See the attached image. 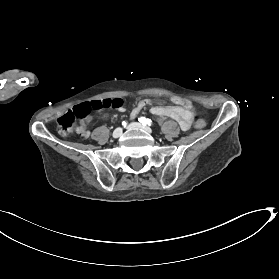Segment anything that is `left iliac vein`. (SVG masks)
Segmentation results:
<instances>
[{
    "instance_id": "1",
    "label": "left iliac vein",
    "mask_w": 279,
    "mask_h": 279,
    "mask_svg": "<svg viewBox=\"0 0 279 279\" xmlns=\"http://www.w3.org/2000/svg\"><path fill=\"white\" fill-rule=\"evenodd\" d=\"M127 128L128 129L139 128V129H142V130H144L148 133H152V130L149 127L144 126V125H142L141 123H138V122L130 123Z\"/></svg>"
}]
</instances>
